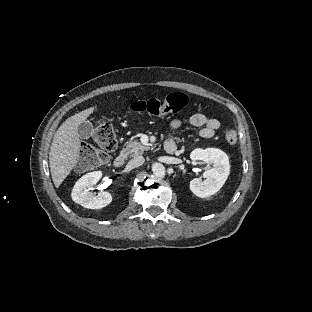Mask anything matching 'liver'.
<instances>
[{
    "label": "liver",
    "mask_w": 312,
    "mask_h": 312,
    "mask_svg": "<svg viewBox=\"0 0 312 312\" xmlns=\"http://www.w3.org/2000/svg\"><path fill=\"white\" fill-rule=\"evenodd\" d=\"M96 111V105L88 107L70 116L56 131L49 153L50 172L55 188L61 186L78 162L81 149L79 124L86 122Z\"/></svg>",
    "instance_id": "obj_1"
}]
</instances>
